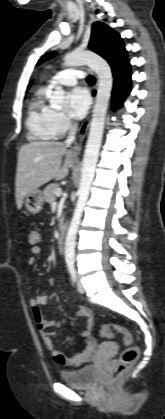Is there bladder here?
Here are the masks:
<instances>
[{
	"mask_svg": "<svg viewBox=\"0 0 165 419\" xmlns=\"http://www.w3.org/2000/svg\"><path fill=\"white\" fill-rule=\"evenodd\" d=\"M61 379L70 387L88 389L98 381V370L95 365H88L78 369L62 371Z\"/></svg>",
	"mask_w": 165,
	"mask_h": 419,
	"instance_id": "1",
	"label": "bladder"
}]
</instances>
